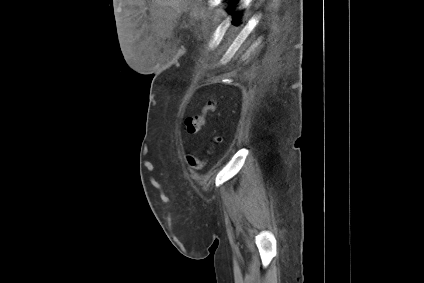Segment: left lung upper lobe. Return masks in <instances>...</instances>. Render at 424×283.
<instances>
[{
  "mask_svg": "<svg viewBox=\"0 0 424 283\" xmlns=\"http://www.w3.org/2000/svg\"><path fill=\"white\" fill-rule=\"evenodd\" d=\"M234 4V3H233ZM233 21H232V23L233 24H237V22L239 21V19H240V13H234V15H233Z\"/></svg>",
  "mask_w": 424,
  "mask_h": 283,
  "instance_id": "left-lung-upper-lobe-1",
  "label": "left lung upper lobe"
}]
</instances>
